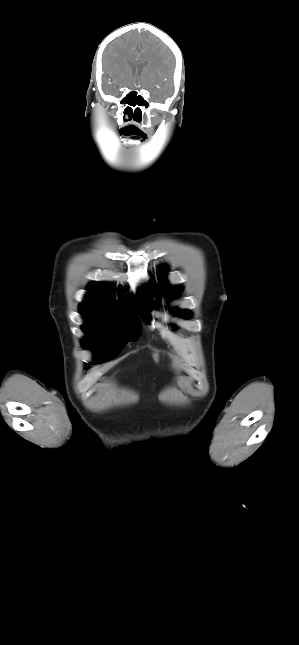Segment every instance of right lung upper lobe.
<instances>
[{
    "label": "right lung upper lobe",
    "mask_w": 299,
    "mask_h": 645,
    "mask_svg": "<svg viewBox=\"0 0 299 645\" xmlns=\"http://www.w3.org/2000/svg\"><path fill=\"white\" fill-rule=\"evenodd\" d=\"M113 295L114 289L111 285L92 283L88 287L86 300L80 305V311L82 313H112L118 315L126 313L128 318L138 319L132 297L122 298L123 302H117Z\"/></svg>",
    "instance_id": "obj_1"
}]
</instances>
